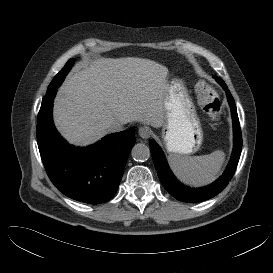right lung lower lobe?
I'll return each mask as SVG.
<instances>
[{
	"label": "right lung lower lobe",
	"mask_w": 273,
	"mask_h": 273,
	"mask_svg": "<svg viewBox=\"0 0 273 273\" xmlns=\"http://www.w3.org/2000/svg\"><path fill=\"white\" fill-rule=\"evenodd\" d=\"M57 89L42 100L37 119V143L46 172L64 195L74 200L99 204L110 200L119 186L135 129L106 136L98 143L78 148L68 144L52 120Z\"/></svg>",
	"instance_id": "obj_1"
}]
</instances>
